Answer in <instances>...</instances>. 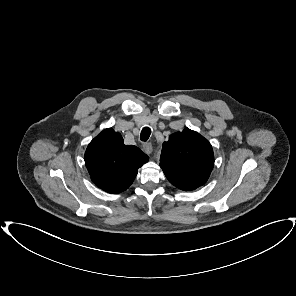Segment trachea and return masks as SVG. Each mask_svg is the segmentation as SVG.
I'll list each match as a JSON object with an SVG mask.
<instances>
[{
  "label": "trachea",
  "instance_id": "3493384b",
  "mask_svg": "<svg viewBox=\"0 0 296 296\" xmlns=\"http://www.w3.org/2000/svg\"><path fill=\"white\" fill-rule=\"evenodd\" d=\"M151 135V129L149 127H144L141 131L140 139L146 142Z\"/></svg>",
  "mask_w": 296,
  "mask_h": 296
}]
</instances>
